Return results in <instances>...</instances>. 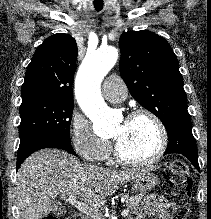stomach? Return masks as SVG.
<instances>
[{
	"instance_id": "obj_1",
	"label": "stomach",
	"mask_w": 211,
	"mask_h": 219,
	"mask_svg": "<svg viewBox=\"0 0 211 219\" xmlns=\"http://www.w3.org/2000/svg\"><path fill=\"white\" fill-rule=\"evenodd\" d=\"M158 183V176L148 168L138 170V174L131 180L132 189L138 192H146L154 188Z\"/></svg>"
}]
</instances>
